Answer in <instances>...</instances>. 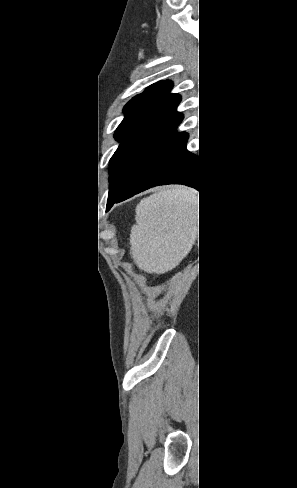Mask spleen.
<instances>
[{
	"label": "spleen",
	"instance_id": "spleen-1",
	"mask_svg": "<svg viewBox=\"0 0 297 488\" xmlns=\"http://www.w3.org/2000/svg\"><path fill=\"white\" fill-rule=\"evenodd\" d=\"M195 202V192L183 187L162 189L139 202L130 245L141 270L161 274L187 255Z\"/></svg>",
	"mask_w": 297,
	"mask_h": 488
}]
</instances>
